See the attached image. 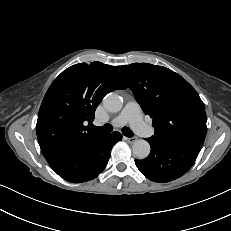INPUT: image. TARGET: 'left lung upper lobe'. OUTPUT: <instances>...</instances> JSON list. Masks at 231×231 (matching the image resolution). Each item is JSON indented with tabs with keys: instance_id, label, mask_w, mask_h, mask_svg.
<instances>
[{
	"instance_id": "1",
	"label": "left lung upper lobe",
	"mask_w": 231,
	"mask_h": 231,
	"mask_svg": "<svg viewBox=\"0 0 231 231\" xmlns=\"http://www.w3.org/2000/svg\"><path fill=\"white\" fill-rule=\"evenodd\" d=\"M119 73L164 141L202 146L207 132L205 106L195 89L179 74L148 63L119 66Z\"/></svg>"
}]
</instances>
